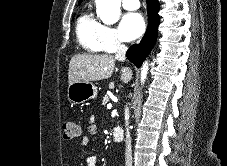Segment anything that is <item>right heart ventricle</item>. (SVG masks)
<instances>
[{
	"label": "right heart ventricle",
	"instance_id": "right-heart-ventricle-1",
	"mask_svg": "<svg viewBox=\"0 0 227 166\" xmlns=\"http://www.w3.org/2000/svg\"><path fill=\"white\" fill-rule=\"evenodd\" d=\"M104 27L90 10L83 11L76 22V37L79 45L90 53L103 51Z\"/></svg>",
	"mask_w": 227,
	"mask_h": 166
}]
</instances>
